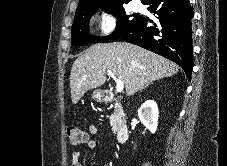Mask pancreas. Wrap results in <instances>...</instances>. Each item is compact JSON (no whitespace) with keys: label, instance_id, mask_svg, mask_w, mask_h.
Listing matches in <instances>:
<instances>
[{"label":"pancreas","instance_id":"cf45deb5","mask_svg":"<svg viewBox=\"0 0 227 166\" xmlns=\"http://www.w3.org/2000/svg\"><path fill=\"white\" fill-rule=\"evenodd\" d=\"M125 123V115L120 105H115L114 112L110 117V125L112 126V130L115 133L118 127Z\"/></svg>","mask_w":227,"mask_h":166}]
</instances>
